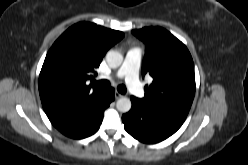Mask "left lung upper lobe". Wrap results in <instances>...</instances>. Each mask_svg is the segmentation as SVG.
Wrapping results in <instances>:
<instances>
[{
    "mask_svg": "<svg viewBox=\"0 0 248 165\" xmlns=\"http://www.w3.org/2000/svg\"><path fill=\"white\" fill-rule=\"evenodd\" d=\"M132 33L146 44L142 75L153 82L145 86L142 104L186 119L195 94L194 63L187 47L161 27H145Z\"/></svg>",
    "mask_w": 248,
    "mask_h": 165,
    "instance_id": "5c2ea615",
    "label": "left lung upper lobe"
}]
</instances>
